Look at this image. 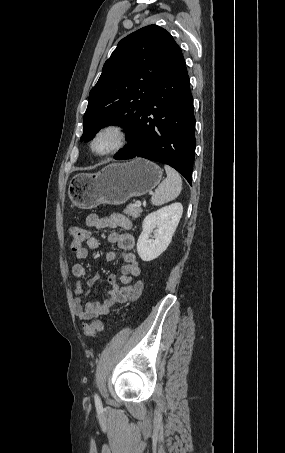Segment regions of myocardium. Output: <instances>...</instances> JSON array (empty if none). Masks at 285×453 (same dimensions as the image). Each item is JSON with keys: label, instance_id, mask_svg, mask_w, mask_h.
I'll use <instances>...</instances> for the list:
<instances>
[{"label": "myocardium", "instance_id": "f54148a6", "mask_svg": "<svg viewBox=\"0 0 285 453\" xmlns=\"http://www.w3.org/2000/svg\"><path fill=\"white\" fill-rule=\"evenodd\" d=\"M106 133L113 134L116 137V143L108 151L99 153L95 150L94 144L100 136H102L103 134H106ZM128 141H129V132H128V129L123 124L107 123V124L99 127L95 131L93 136L91 137L90 150L94 155H96L98 157H108V156H111V155L119 152L120 150H122L128 144Z\"/></svg>", "mask_w": 285, "mask_h": 453}]
</instances>
